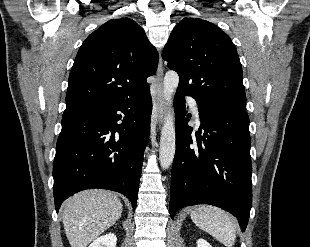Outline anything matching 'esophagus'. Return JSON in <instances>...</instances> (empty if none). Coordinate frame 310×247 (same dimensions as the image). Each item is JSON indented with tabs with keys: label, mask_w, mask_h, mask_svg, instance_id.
<instances>
[{
	"label": "esophagus",
	"mask_w": 310,
	"mask_h": 247,
	"mask_svg": "<svg viewBox=\"0 0 310 247\" xmlns=\"http://www.w3.org/2000/svg\"><path fill=\"white\" fill-rule=\"evenodd\" d=\"M154 88V99L157 110L158 125L161 126L165 114V98L163 93V63L161 57L159 58Z\"/></svg>",
	"instance_id": "obj_1"
}]
</instances>
